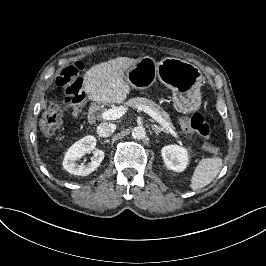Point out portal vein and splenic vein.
Returning a JSON list of instances; mask_svg holds the SVG:
<instances>
[{"mask_svg": "<svg viewBox=\"0 0 266 266\" xmlns=\"http://www.w3.org/2000/svg\"><path fill=\"white\" fill-rule=\"evenodd\" d=\"M137 109L140 111H144L150 117L155 119L173 137H175V138L178 137L177 133L172 129L171 124L169 122L165 121L161 116H158L157 113L154 112L152 109H150L147 106H139ZM126 112H127V108H125L123 106H119V107H115V108L108 109V110L104 111L102 113L101 117L104 120H117V119L121 118Z\"/></svg>", "mask_w": 266, "mask_h": 266, "instance_id": "18ae733b", "label": "portal vein and splenic vein"}]
</instances>
